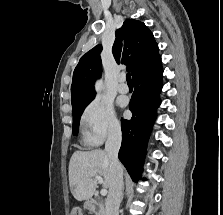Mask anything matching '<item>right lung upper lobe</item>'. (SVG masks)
I'll use <instances>...</instances> for the list:
<instances>
[{
  "label": "right lung upper lobe",
  "instance_id": "1",
  "mask_svg": "<svg viewBox=\"0 0 223 215\" xmlns=\"http://www.w3.org/2000/svg\"><path fill=\"white\" fill-rule=\"evenodd\" d=\"M101 45L83 55L73 73L71 85L72 108L90 103L95 97L94 82L101 74ZM117 63L127 65L133 81L159 70L161 57L153 34L143 22L127 19L116 31L112 47Z\"/></svg>",
  "mask_w": 223,
  "mask_h": 215
}]
</instances>
